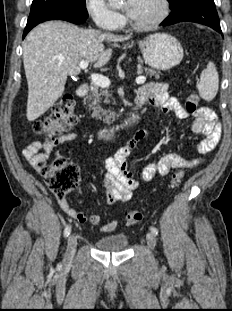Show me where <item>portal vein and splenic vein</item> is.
I'll use <instances>...</instances> for the list:
<instances>
[{"label":"portal vein and splenic vein","instance_id":"18ae733b","mask_svg":"<svg viewBox=\"0 0 232 311\" xmlns=\"http://www.w3.org/2000/svg\"><path fill=\"white\" fill-rule=\"evenodd\" d=\"M62 61H63V60L60 59V62H62ZM88 64H89L88 61L82 60V61H80V63H79V67H80L81 69H86V68L88 67ZM91 81H92L94 84H96V85H98V86H100V87H102V88H105V87H109V86H110V80H109V78H108V77H105V76H102V75H99V74H91ZM135 81H136L137 84H144L145 81H146V77H145V76H138V77L136 78Z\"/></svg>","mask_w":232,"mask_h":311}]
</instances>
